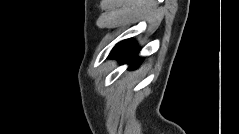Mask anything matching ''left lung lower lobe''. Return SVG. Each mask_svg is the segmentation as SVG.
Instances as JSON below:
<instances>
[{"instance_id": "1", "label": "left lung lower lobe", "mask_w": 239, "mask_h": 134, "mask_svg": "<svg viewBox=\"0 0 239 134\" xmlns=\"http://www.w3.org/2000/svg\"><path fill=\"white\" fill-rule=\"evenodd\" d=\"M139 48L132 39H127L118 43L111 51L109 58H117L122 64L130 63V68L138 67L143 58L136 57Z\"/></svg>"}]
</instances>
